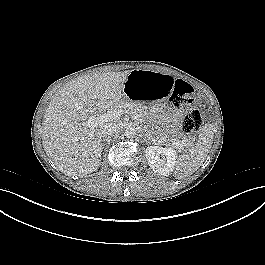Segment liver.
<instances>
[{
	"label": "liver",
	"mask_w": 265,
	"mask_h": 265,
	"mask_svg": "<svg viewBox=\"0 0 265 265\" xmlns=\"http://www.w3.org/2000/svg\"><path fill=\"white\" fill-rule=\"evenodd\" d=\"M131 71L86 75L67 83L54 96L42 122V145L57 168L67 176L96 171L101 162L104 123L85 125L98 109L115 108Z\"/></svg>",
	"instance_id": "1"
}]
</instances>
